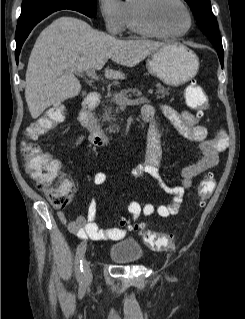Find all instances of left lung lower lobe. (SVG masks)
<instances>
[{
    "label": "left lung lower lobe",
    "instance_id": "left-lung-lower-lobe-1",
    "mask_svg": "<svg viewBox=\"0 0 245 319\" xmlns=\"http://www.w3.org/2000/svg\"><path fill=\"white\" fill-rule=\"evenodd\" d=\"M217 50V53H218V56H219V60H220V63L223 67V50H220V49H216Z\"/></svg>",
    "mask_w": 245,
    "mask_h": 319
}]
</instances>
